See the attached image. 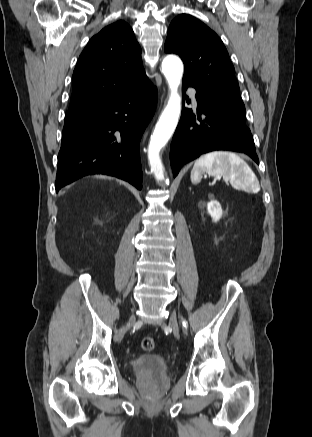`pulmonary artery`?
<instances>
[{"label":"pulmonary artery","mask_w":312,"mask_h":437,"mask_svg":"<svg viewBox=\"0 0 312 437\" xmlns=\"http://www.w3.org/2000/svg\"><path fill=\"white\" fill-rule=\"evenodd\" d=\"M189 94L191 95V97H192V99H193V102H194V104L196 105V104H197V101H196V99H195V90H194V89H190V90H189Z\"/></svg>","instance_id":"e3ab8cb5"}]
</instances>
